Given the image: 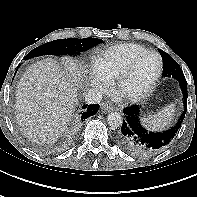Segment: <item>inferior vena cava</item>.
Masks as SVG:
<instances>
[{
    "label": "inferior vena cava",
    "instance_id": "602c4592",
    "mask_svg": "<svg viewBox=\"0 0 197 197\" xmlns=\"http://www.w3.org/2000/svg\"><path fill=\"white\" fill-rule=\"evenodd\" d=\"M84 96L85 101L88 104H96L102 100V93L99 90L93 88L87 89L84 92Z\"/></svg>",
    "mask_w": 197,
    "mask_h": 197
}]
</instances>
